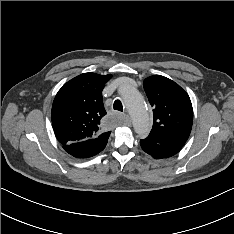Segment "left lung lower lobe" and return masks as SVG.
Listing matches in <instances>:
<instances>
[{"instance_id": "1", "label": "left lung lower lobe", "mask_w": 234, "mask_h": 234, "mask_svg": "<svg viewBox=\"0 0 234 234\" xmlns=\"http://www.w3.org/2000/svg\"><path fill=\"white\" fill-rule=\"evenodd\" d=\"M142 149L153 158H168L179 152L182 146L171 140L148 136L140 140Z\"/></svg>"}]
</instances>
